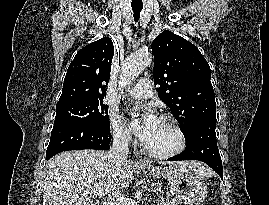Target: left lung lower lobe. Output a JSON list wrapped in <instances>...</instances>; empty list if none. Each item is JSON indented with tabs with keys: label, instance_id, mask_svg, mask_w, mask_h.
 I'll list each match as a JSON object with an SVG mask.
<instances>
[{
	"label": "left lung lower lobe",
	"instance_id": "1",
	"mask_svg": "<svg viewBox=\"0 0 269 205\" xmlns=\"http://www.w3.org/2000/svg\"><path fill=\"white\" fill-rule=\"evenodd\" d=\"M216 122L204 121L194 126L185 136L187 141L184 152L168 160H199L209 165L216 173L223 177L222 161L216 142Z\"/></svg>",
	"mask_w": 269,
	"mask_h": 205
}]
</instances>
